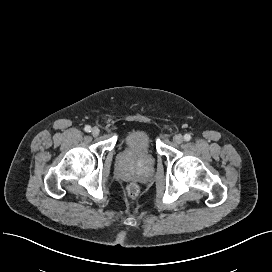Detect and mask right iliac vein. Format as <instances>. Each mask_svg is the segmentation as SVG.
I'll list each match as a JSON object with an SVG mask.
<instances>
[{
	"instance_id": "right-iliac-vein-1",
	"label": "right iliac vein",
	"mask_w": 272,
	"mask_h": 272,
	"mask_svg": "<svg viewBox=\"0 0 272 272\" xmlns=\"http://www.w3.org/2000/svg\"><path fill=\"white\" fill-rule=\"evenodd\" d=\"M91 133H92L93 136L96 137V136H98L100 134V130H99L98 127H94V128H92Z\"/></svg>"
}]
</instances>
